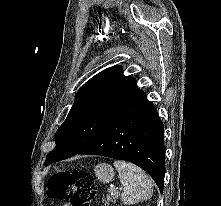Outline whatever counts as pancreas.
<instances>
[{
  "label": "pancreas",
  "instance_id": "1",
  "mask_svg": "<svg viewBox=\"0 0 221 206\" xmlns=\"http://www.w3.org/2000/svg\"><path fill=\"white\" fill-rule=\"evenodd\" d=\"M118 197H119V193H118V192H114V193H112V194H108V195L106 196V198H103L102 201H103L105 204L109 205V203L115 202Z\"/></svg>",
  "mask_w": 221,
  "mask_h": 206
}]
</instances>
